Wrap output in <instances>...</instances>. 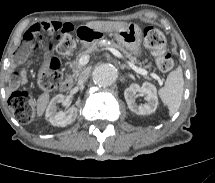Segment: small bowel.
Instances as JSON below:
<instances>
[{
	"mask_svg": "<svg viewBox=\"0 0 215 183\" xmlns=\"http://www.w3.org/2000/svg\"><path fill=\"white\" fill-rule=\"evenodd\" d=\"M64 29H72L71 25L61 21H44L33 24L23 35L22 43H33L34 40L43 33L54 34ZM21 51H23L21 44ZM25 83V77L17 75L11 79L10 87L12 89L18 88Z\"/></svg>",
	"mask_w": 215,
	"mask_h": 183,
	"instance_id": "c3829d8e",
	"label": "small bowel"
}]
</instances>
